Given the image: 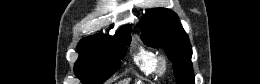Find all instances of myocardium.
I'll return each mask as SVG.
<instances>
[{"instance_id":"obj_1","label":"myocardium","mask_w":260,"mask_h":84,"mask_svg":"<svg viewBox=\"0 0 260 84\" xmlns=\"http://www.w3.org/2000/svg\"><path fill=\"white\" fill-rule=\"evenodd\" d=\"M168 69V63L165 57L160 56L157 59L156 72L160 75L164 74Z\"/></svg>"}]
</instances>
